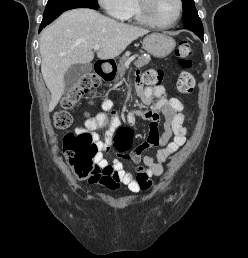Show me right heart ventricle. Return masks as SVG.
Here are the masks:
<instances>
[{
  "instance_id": "e07e8e85",
  "label": "right heart ventricle",
  "mask_w": 248,
  "mask_h": 258,
  "mask_svg": "<svg viewBox=\"0 0 248 258\" xmlns=\"http://www.w3.org/2000/svg\"><path fill=\"white\" fill-rule=\"evenodd\" d=\"M123 19L128 21H135L138 23H145L140 17L137 7V0H129V8Z\"/></svg>"
}]
</instances>
